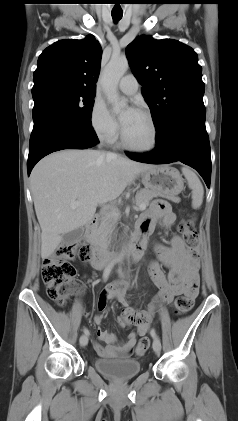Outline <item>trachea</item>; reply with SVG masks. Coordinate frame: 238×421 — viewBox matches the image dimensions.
Listing matches in <instances>:
<instances>
[{"instance_id": "obj_1", "label": "trachea", "mask_w": 238, "mask_h": 421, "mask_svg": "<svg viewBox=\"0 0 238 421\" xmlns=\"http://www.w3.org/2000/svg\"><path fill=\"white\" fill-rule=\"evenodd\" d=\"M122 13H112V18L115 22H118L122 18Z\"/></svg>"}]
</instances>
